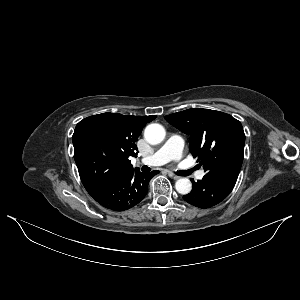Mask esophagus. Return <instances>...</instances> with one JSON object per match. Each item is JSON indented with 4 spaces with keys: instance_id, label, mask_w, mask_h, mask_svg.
I'll use <instances>...</instances> for the list:
<instances>
[{
    "instance_id": "obj_1",
    "label": "esophagus",
    "mask_w": 300,
    "mask_h": 300,
    "mask_svg": "<svg viewBox=\"0 0 300 300\" xmlns=\"http://www.w3.org/2000/svg\"><path fill=\"white\" fill-rule=\"evenodd\" d=\"M168 175H169V177H171V178L174 179V180H177V179L180 178L179 176H177V175H175V174H173V173H171V172H169Z\"/></svg>"
}]
</instances>
